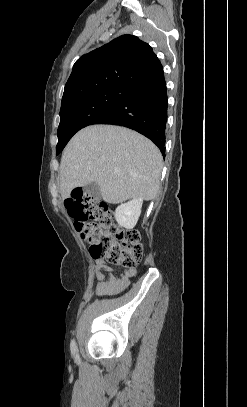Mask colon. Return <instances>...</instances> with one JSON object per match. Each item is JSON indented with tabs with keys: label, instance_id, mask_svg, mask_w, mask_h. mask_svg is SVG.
Wrapping results in <instances>:
<instances>
[{
	"label": "colon",
	"instance_id": "5ec220e1",
	"mask_svg": "<svg viewBox=\"0 0 247 407\" xmlns=\"http://www.w3.org/2000/svg\"><path fill=\"white\" fill-rule=\"evenodd\" d=\"M65 207L82 239L90 244L89 252L93 258H104L127 269L135 268L141 262L140 233L120 228L105 202L74 191L65 201Z\"/></svg>",
	"mask_w": 247,
	"mask_h": 407
}]
</instances>
